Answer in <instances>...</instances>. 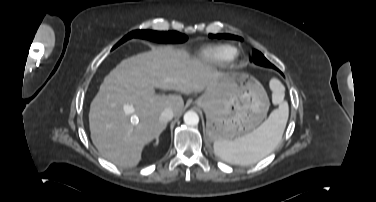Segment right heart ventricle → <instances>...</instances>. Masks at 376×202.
<instances>
[{
  "mask_svg": "<svg viewBox=\"0 0 376 202\" xmlns=\"http://www.w3.org/2000/svg\"><path fill=\"white\" fill-rule=\"evenodd\" d=\"M236 53L237 50L235 47L228 44H221L205 48L201 52V56L214 64L222 65L231 61Z\"/></svg>",
  "mask_w": 376,
  "mask_h": 202,
  "instance_id": "e07e8e85",
  "label": "right heart ventricle"
}]
</instances>
